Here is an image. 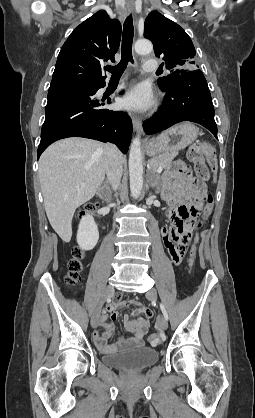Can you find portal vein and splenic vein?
Returning <instances> with one entry per match:
<instances>
[{
	"mask_svg": "<svg viewBox=\"0 0 255 418\" xmlns=\"http://www.w3.org/2000/svg\"><path fill=\"white\" fill-rule=\"evenodd\" d=\"M162 167H159L157 170H156V172L159 174V173H161L162 172Z\"/></svg>",
	"mask_w": 255,
	"mask_h": 418,
	"instance_id": "obj_1",
	"label": "portal vein and splenic vein"
}]
</instances>
